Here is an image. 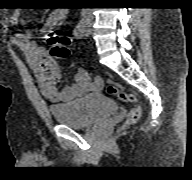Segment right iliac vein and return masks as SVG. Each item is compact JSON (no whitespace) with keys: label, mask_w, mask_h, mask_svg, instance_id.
<instances>
[{"label":"right iliac vein","mask_w":192,"mask_h":180,"mask_svg":"<svg viewBox=\"0 0 192 180\" xmlns=\"http://www.w3.org/2000/svg\"><path fill=\"white\" fill-rule=\"evenodd\" d=\"M86 25H87V24H83L84 27H87Z\"/></svg>","instance_id":"right-iliac-vein-1"}]
</instances>
